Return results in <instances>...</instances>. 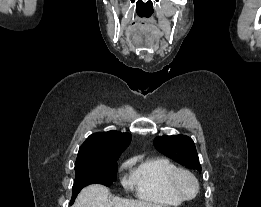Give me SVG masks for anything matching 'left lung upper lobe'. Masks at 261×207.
I'll return each instance as SVG.
<instances>
[{
	"mask_svg": "<svg viewBox=\"0 0 261 207\" xmlns=\"http://www.w3.org/2000/svg\"><path fill=\"white\" fill-rule=\"evenodd\" d=\"M154 146L167 157L187 168L201 170L193 140L186 135L157 136Z\"/></svg>",
	"mask_w": 261,
	"mask_h": 207,
	"instance_id": "obj_1",
	"label": "left lung upper lobe"
}]
</instances>
